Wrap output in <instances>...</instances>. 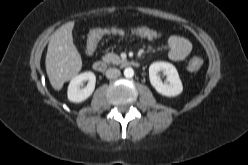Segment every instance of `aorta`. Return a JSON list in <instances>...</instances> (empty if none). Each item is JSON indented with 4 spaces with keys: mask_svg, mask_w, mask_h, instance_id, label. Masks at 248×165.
<instances>
[{
    "mask_svg": "<svg viewBox=\"0 0 248 165\" xmlns=\"http://www.w3.org/2000/svg\"><path fill=\"white\" fill-rule=\"evenodd\" d=\"M124 76L126 78H132L134 76V70L131 67H127L124 69Z\"/></svg>",
    "mask_w": 248,
    "mask_h": 165,
    "instance_id": "1",
    "label": "aorta"
}]
</instances>
